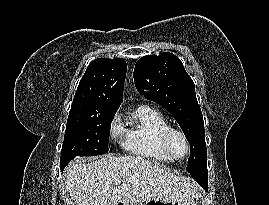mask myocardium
Wrapping results in <instances>:
<instances>
[{
	"label": "myocardium",
	"mask_w": 269,
	"mask_h": 205,
	"mask_svg": "<svg viewBox=\"0 0 269 205\" xmlns=\"http://www.w3.org/2000/svg\"><path fill=\"white\" fill-rule=\"evenodd\" d=\"M179 134L185 144H186V153L184 156L182 157H178L176 156L171 148H170V138L173 134ZM159 146L161 148V150L172 160L174 161H178V160H183L185 158H187L190 154V151H191V144H190V141H189V138L187 136V134L180 128H177V127H172V126H168L167 128L163 129L159 135Z\"/></svg>",
	"instance_id": "obj_1"
}]
</instances>
